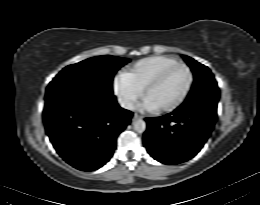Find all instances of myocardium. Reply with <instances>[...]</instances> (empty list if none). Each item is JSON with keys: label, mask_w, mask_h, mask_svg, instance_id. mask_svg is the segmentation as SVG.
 <instances>
[{"label": "myocardium", "mask_w": 260, "mask_h": 205, "mask_svg": "<svg viewBox=\"0 0 260 205\" xmlns=\"http://www.w3.org/2000/svg\"><path fill=\"white\" fill-rule=\"evenodd\" d=\"M178 66L183 67L187 70V72H188V83H187L184 91L182 92V94L174 102H172L169 105L156 108V110L158 112L173 111L176 108H178L185 101V99L187 98L188 94L190 93L191 88H192L193 83H194V73H193L192 69L186 63L181 62V61L170 64V65L164 67L163 69H161L159 72H157L147 82V84L144 86V88L142 90L143 97L145 98L147 93L165 76V74L167 72H169L174 67H178Z\"/></svg>", "instance_id": "f54148a6"}]
</instances>
